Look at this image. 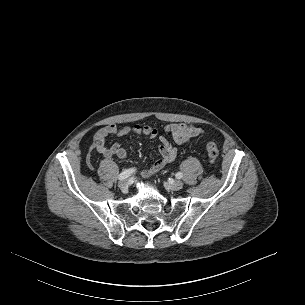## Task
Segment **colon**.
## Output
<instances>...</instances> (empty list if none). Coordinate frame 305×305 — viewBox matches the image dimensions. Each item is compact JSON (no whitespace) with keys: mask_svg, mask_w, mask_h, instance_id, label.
Returning <instances> with one entry per match:
<instances>
[{"mask_svg":"<svg viewBox=\"0 0 305 305\" xmlns=\"http://www.w3.org/2000/svg\"><path fill=\"white\" fill-rule=\"evenodd\" d=\"M206 149L211 164H215L218 160L219 151L217 145L213 141H207Z\"/></svg>","mask_w":305,"mask_h":305,"instance_id":"5ec220e1","label":"colon"}]
</instances>
